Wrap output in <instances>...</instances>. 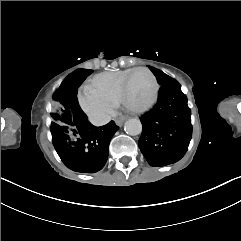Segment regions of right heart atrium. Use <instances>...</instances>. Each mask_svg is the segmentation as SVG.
I'll return each mask as SVG.
<instances>
[{
    "label": "right heart atrium",
    "mask_w": 241,
    "mask_h": 241,
    "mask_svg": "<svg viewBox=\"0 0 241 241\" xmlns=\"http://www.w3.org/2000/svg\"><path fill=\"white\" fill-rule=\"evenodd\" d=\"M77 99L82 111L90 116L91 121L101 128L111 123L110 114L114 112L115 104L109 96L98 91L92 83H87L78 90Z\"/></svg>",
    "instance_id": "right-heart-atrium-1"
}]
</instances>
